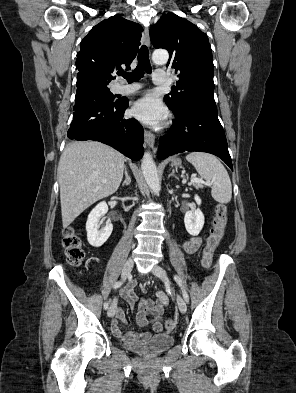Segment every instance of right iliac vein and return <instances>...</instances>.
I'll return each instance as SVG.
<instances>
[{
  "label": "right iliac vein",
  "mask_w": 296,
  "mask_h": 393,
  "mask_svg": "<svg viewBox=\"0 0 296 393\" xmlns=\"http://www.w3.org/2000/svg\"><path fill=\"white\" fill-rule=\"evenodd\" d=\"M133 265H134L133 259L129 258L126 261V263L123 267V270H122L121 277L123 280H126L128 278V276L130 275V273L132 271ZM116 307H117V303L114 300L108 309V312H107L108 317H113L115 315Z\"/></svg>",
  "instance_id": "obj_1"
}]
</instances>
